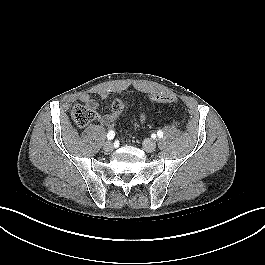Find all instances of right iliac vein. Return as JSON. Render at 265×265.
<instances>
[{
  "instance_id": "63e3f726",
  "label": "right iliac vein",
  "mask_w": 265,
  "mask_h": 265,
  "mask_svg": "<svg viewBox=\"0 0 265 265\" xmlns=\"http://www.w3.org/2000/svg\"><path fill=\"white\" fill-rule=\"evenodd\" d=\"M103 149L106 153H111L114 149L113 144L111 142H106L103 146Z\"/></svg>"
}]
</instances>
